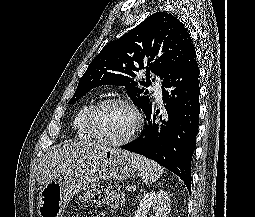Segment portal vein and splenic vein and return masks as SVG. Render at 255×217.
I'll return each mask as SVG.
<instances>
[{"instance_id":"18ae733b","label":"portal vein and splenic vein","mask_w":255,"mask_h":217,"mask_svg":"<svg viewBox=\"0 0 255 217\" xmlns=\"http://www.w3.org/2000/svg\"><path fill=\"white\" fill-rule=\"evenodd\" d=\"M131 189H132L131 186H127V187H126V190H127V191H131Z\"/></svg>"}]
</instances>
